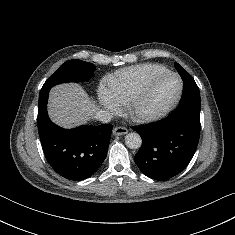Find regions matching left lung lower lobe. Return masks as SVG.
I'll return each mask as SVG.
<instances>
[{
	"label": "left lung lower lobe",
	"mask_w": 235,
	"mask_h": 235,
	"mask_svg": "<svg viewBox=\"0 0 235 235\" xmlns=\"http://www.w3.org/2000/svg\"><path fill=\"white\" fill-rule=\"evenodd\" d=\"M183 83L185 90L190 88ZM200 109L198 104H183L164 119L133 127L142 138L134 161L146 176L164 181L187 167L199 142Z\"/></svg>",
	"instance_id": "0a47b994"
}]
</instances>
